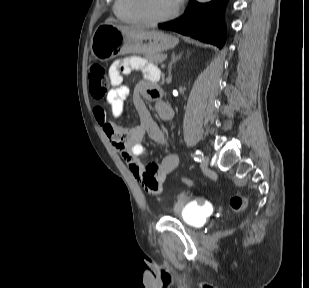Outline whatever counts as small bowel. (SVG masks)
Returning <instances> with one entry per match:
<instances>
[{
	"mask_svg": "<svg viewBox=\"0 0 309 288\" xmlns=\"http://www.w3.org/2000/svg\"><path fill=\"white\" fill-rule=\"evenodd\" d=\"M134 69L145 73V79L136 85L133 92V103L139 124L130 129L120 127L107 118L101 106L94 108V115L113 148L122 155L132 176L140 182L145 191L159 194L163 190L167 176L178 166L179 158L174 153H168L159 162L144 164L139 159L145 153L142 145L145 136L151 137L162 147L169 148L166 134L152 118L144 100V98L155 100V109L159 117L167 122L172 121L174 117L172 107L160 100L162 90L158 85L159 72L156 66L134 56L114 61L109 68L112 89L107 95V103L115 117L123 113L125 102L130 95L129 87L122 85L123 74Z\"/></svg>",
	"mask_w": 309,
	"mask_h": 288,
	"instance_id": "c3829d8e",
	"label": "small bowel"
}]
</instances>
